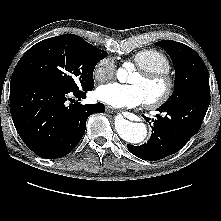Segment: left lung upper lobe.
I'll use <instances>...</instances> for the list:
<instances>
[{
	"mask_svg": "<svg viewBox=\"0 0 221 221\" xmlns=\"http://www.w3.org/2000/svg\"><path fill=\"white\" fill-rule=\"evenodd\" d=\"M156 45L166 50L175 67L174 92L165 105L210 96L207 67L192 48L172 40H162Z\"/></svg>",
	"mask_w": 221,
	"mask_h": 221,
	"instance_id": "5c2ea615",
	"label": "left lung upper lobe"
}]
</instances>
